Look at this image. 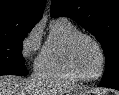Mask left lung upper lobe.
<instances>
[{"label":"left lung upper lobe","mask_w":119,"mask_h":95,"mask_svg":"<svg viewBox=\"0 0 119 95\" xmlns=\"http://www.w3.org/2000/svg\"><path fill=\"white\" fill-rule=\"evenodd\" d=\"M51 16L69 17L96 37L106 54L100 86H119V1L52 0Z\"/></svg>","instance_id":"obj_1"}]
</instances>
